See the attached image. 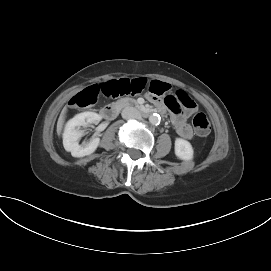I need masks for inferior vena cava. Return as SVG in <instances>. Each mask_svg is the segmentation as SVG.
Here are the masks:
<instances>
[{"instance_id": "1", "label": "inferior vena cava", "mask_w": 271, "mask_h": 271, "mask_svg": "<svg viewBox=\"0 0 271 271\" xmlns=\"http://www.w3.org/2000/svg\"><path fill=\"white\" fill-rule=\"evenodd\" d=\"M124 119H140V112L134 107H125L121 113Z\"/></svg>"}]
</instances>
